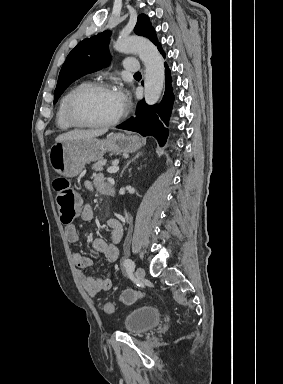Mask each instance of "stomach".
I'll list each match as a JSON object with an SVG mask.
<instances>
[{"label": "stomach", "instance_id": "1", "mask_svg": "<svg viewBox=\"0 0 283 384\" xmlns=\"http://www.w3.org/2000/svg\"><path fill=\"white\" fill-rule=\"evenodd\" d=\"M141 140L138 136L111 134L106 140L85 138V140H69L57 142L49 150V162L61 176L75 178L82 172L88 162L102 160L105 152L113 154H130L140 150Z\"/></svg>", "mask_w": 283, "mask_h": 384}]
</instances>
